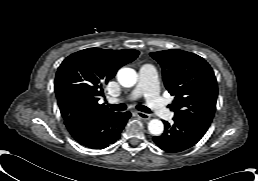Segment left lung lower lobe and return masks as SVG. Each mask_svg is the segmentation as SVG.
<instances>
[{"label":"left lung lower lobe","instance_id":"left-lung-lower-lobe-1","mask_svg":"<svg viewBox=\"0 0 258 181\" xmlns=\"http://www.w3.org/2000/svg\"><path fill=\"white\" fill-rule=\"evenodd\" d=\"M170 125L163 121L164 133L153 138L158 147L166 152H181L196 144L206 133L210 125L183 118H173Z\"/></svg>","mask_w":258,"mask_h":181}]
</instances>
